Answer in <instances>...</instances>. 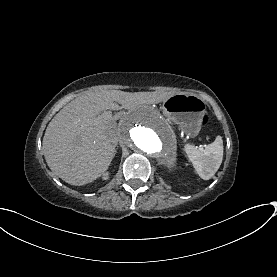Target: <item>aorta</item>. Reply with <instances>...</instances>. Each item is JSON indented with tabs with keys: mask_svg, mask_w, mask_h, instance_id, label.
Returning <instances> with one entry per match:
<instances>
[{
	"mask_svg": "<svg viewBox=\"0 0 277 277\" xmlns=\"http://www.w3.org/2000/svg\"><path fill=\"white\" fill-rule=\"evenodd\" d=\"M122 143L138 155L169 167L175 165V134L171 126L153 110L138 109L123 120Z\"/></svg>",
	"mask_w": 277,
	"mask_h": 277,
	"instance_id": "1",
	"label": "aorta"
}]
</instances>
